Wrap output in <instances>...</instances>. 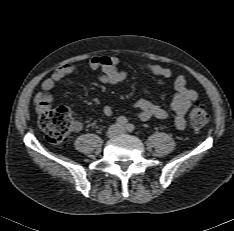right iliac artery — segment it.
Segmentation results:
<instances>
[{"mask_svg": "<svg viewBox=\"0 0 234 231\" xmlns=\"http://www.w3.org/2000/svg\"><path fill=\"white\" fill-rule=\"evenodd\" d=\"M116 122L118 125H126L128 121L124 116H120L116 119Z\"/></svg>", "mask_w": 234, "mask_h": 231, "instance_id": "82829eb1", "label": "right iliac artery"}]
</instances>
